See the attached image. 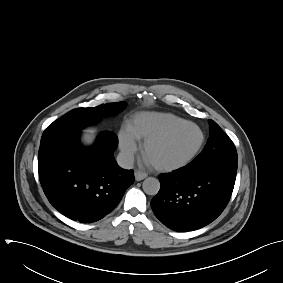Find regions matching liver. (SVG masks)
I'll list each match as a JSON object with an SVG mask.
<instances>
[{
	"mask_svg": "<svg viewBox=\"0 0 283 283\" xmlns=\"http://www.w3.org/2000/svg\"><path fill=\"white\" fill-rule=\"evenodd\" d=\"M87 133H94V131L95 130H93V129H87V130H85ZM86 139L88 140V141H90L91 140V137H90V135L89 134H86Z\"/></svg>",
	"mask_w": 283,
	"mask_h": 283,
	"instance_id": "6515ba94",
	"label": "liver"
}]
</instances>
